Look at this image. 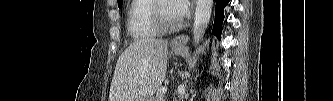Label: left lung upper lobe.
<instances>
[{
  "label": "left lung upper lobe",
  "instance_id": "5c2ea615",
  "mask_svg": "<svg viewBox=\"0 0 333 101\" xmlns=\"http://www.w3.org/2000/svg\"><path fill=\"white\" fill-rule=\"evenodd\" d=\"M118 1V6L121 7L122 6V3L123 1L122 0H117Z\"/></svg>",
  "mask_w": 333,
  "mask_h": 101
}]
</instances>
